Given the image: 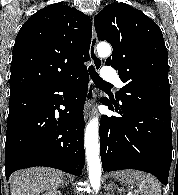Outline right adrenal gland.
Masks as SVG:
<instances>
[{
	"label": "right adrenal gland",
	"mask_w": 178,
	"mask_h": 195,
	"mask_svg": "<svg viewBox=\"0 0 178 195\" xmlns=\"http://www.w3.org/2000/svg\"><path fill=\"white\" fill-rule=\"evenodd\" d=\"M65 185H68V182L66 180H64V184H62L61 187L63 188Z\"/></svg>",
	"instance_id": "2a0ac1e0"
}]
</instances>
